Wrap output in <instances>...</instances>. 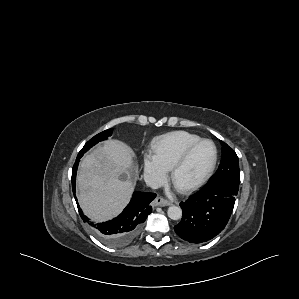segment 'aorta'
<instances>
[{
	"mask_svg": "<svg viewBox=\"0 0 299 299\" xmlns=\"http://www.w3.org/2000/svg\"><path fill=\"white\" fill-rule=\"evenodd\" d=\"M168 217L172 220H179L182 217V209L178 206H170L167 210Z\"/></svg>",
	"mask_w": 299,
	"mask_h": 299,
	"instance_id": "aorta-1",
	"label": "aorta"
}]
</instances>
